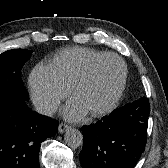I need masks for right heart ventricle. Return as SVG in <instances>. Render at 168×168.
I'll list each match as a JSON object with an SVG mask.
<instances>
[{"instance_id":"obj_1","label":"right heart ventricle","mask_w":168,"mask_h":168,"mask_svg":"<svg viewBox=\"0 0 168 168\" xmlns=\"http://www.w3.org/2000/svg\"><path fill=\"white\" fill-rule=\"evenodd\" d=\"M103 54L105 53L90 48H69L59 52L51 65L55 68L61 80L69 88H72L88 65Z\"/></svg>"}]
</instances>
